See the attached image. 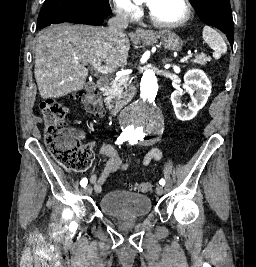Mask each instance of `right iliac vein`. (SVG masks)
Returning a JSON list of instances; mask_svg holds the SVG:
<instances>
[{"mask_svg": "<svg viewBox=\"0 0 256 267\" xmlns=\"http://www.w3.org/2000/svg\"><path fill=\"white\" fill-rule=\"evenodd\" d=\"M92 187L90 185H88L87 187L84 188V193L87 195H90L92 193Z\"/></svg>", "mask_w": 256, "mask_h": 267, "instance_id": "1", "label": "right iliac vein"}]
</instances>
